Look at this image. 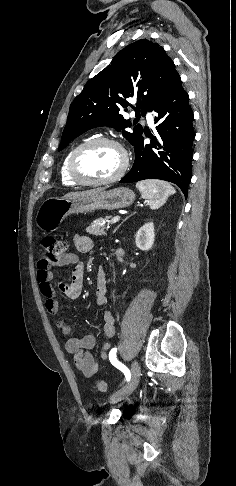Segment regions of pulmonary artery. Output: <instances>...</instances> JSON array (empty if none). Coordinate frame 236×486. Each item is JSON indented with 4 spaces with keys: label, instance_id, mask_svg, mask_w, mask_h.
<instances>
[{
    "label": "pulmonary artery",
    "instance_id": "1",
    "mask_svg": "<svg viewBox=\"0 0 236 486\" xmlns=\"http://www.w3.org/2000/svg\"><path fill=\"white\" fill-rule=\"evenodd\" d=\"M146 118H147L148 123L150 125H152L153 124V116H152V114L150 112H147L146 113Z\"/></svg>",
    "mask_w": 236,
    "mask_h": 486
}]
</instances>
